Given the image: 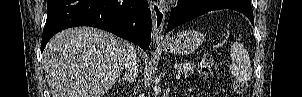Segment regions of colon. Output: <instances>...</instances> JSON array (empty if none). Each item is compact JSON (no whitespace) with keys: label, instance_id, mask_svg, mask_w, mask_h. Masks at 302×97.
Returning a JSON list of instances; mask_svg holds the SVG:
<instances>
[{"label":"colon","instance_id":"colon-1","mask_svg":"<svg viewBox=\"0 0 302 97\" xmlns=\"http://www.w3.org/2000/svg\"><path fill=\"white\" fill-rule=\"evenodd\" d=\"M214 61L211 57L207 56L205 57L199 65V71L202 74H210L213 70ZM246 87L245 82L240 80L233 81V89L236 92H242Z\"/></svg>","mask_w":302,"mask_h":97}]
</instances>
